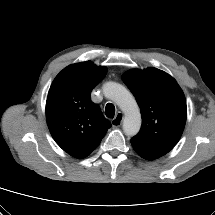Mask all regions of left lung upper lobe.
<instances>
[{
    "instance_id": "obj_1",
    "label": "left lung upper lobe",
    "mask_w": 215,
    "mask_h": 215,
    "mask_svg": "<svg viewBox=\"0 0 215 215\" xmlns=\"http://www.w3.org/2000/svg\"><path fill=\"white\" fill-rule=\"evenodd\" d=\"M122 80L140 107L142 126L131 139L134 150L143 158L157 159L179 141L186 123V100L180 86L166 72L150 67L132 69Z\"/></svg>"
}]
</instances>
